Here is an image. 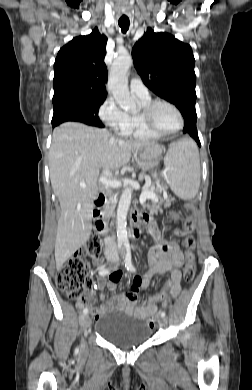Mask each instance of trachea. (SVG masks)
<instances>
[{
	"label": "trachea",
	"instance_id": "trachea-1",
	"mask_svg": "<svg viewBox=\"0 0 252 390\" xmlns=\"http://www.w3.org/2000/svg\"><path fill=\"white\" fill-rule=\"evenodd\" d=\"M118 24H119L121 31L123 33H126L128 31V29H129V19L128 18L119 19Z\"/></svg>",
	"mask_w": 252,
	"mask_h": 390
}]
</instances>
